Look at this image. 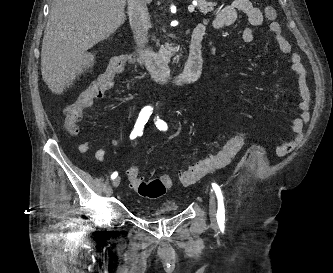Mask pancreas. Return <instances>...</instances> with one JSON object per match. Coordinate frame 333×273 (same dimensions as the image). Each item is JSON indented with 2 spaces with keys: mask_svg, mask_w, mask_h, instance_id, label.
I'll use <instances>...</instances> for the list:
<instances>
[{
  "mask_svg": "<svg viewBox=\"0 0 333 273\" xmlns=\"http://www.w3.org/2000/svg\"><path fill=\"white\" fill-rule=\"evenodd\" d=\"M198 8L203 14H207L208 12L213 10L214 4L211 2H207L206 0H197ZM178 47H173L172 44L166 43L165 46H162L160 49V53L165 57L170 58L174 53L178 51ZM179 56L175 57L178 60Z\"/></svg>",
  "mask_w": 333,
  "mask_h": 273,
  "instance_id": "1",
  "label": "pancreas"
}]
</instances>
